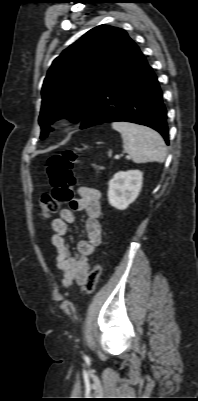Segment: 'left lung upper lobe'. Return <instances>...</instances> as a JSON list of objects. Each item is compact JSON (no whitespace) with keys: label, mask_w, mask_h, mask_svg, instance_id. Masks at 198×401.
Instances as JSON below:
<instances>
[{"label":"left lung upper lobe","mask_w":198,"mask_h":401,"mask_svg":"<svg viewBox=\"0 0 198 401\" xmlns=\"http://www.w3.org/2000/svg\"><path fill=\"white\" fill-rule=\"evenodd\" d=\"M136 44L126 31L100 25L85 33L52 63L42 87L41 139L58 118L79 122L104 84Z\"/></svg>","instance_id":"left-lung-upper-lobe-1"}]
</instances>
